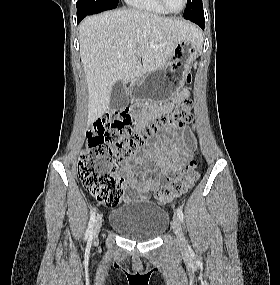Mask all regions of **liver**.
Wrapping results in <instances>:
<instances>
[{"mask_svg": "<svg viewBox=\"0 0 280 285\" xmlns=\"http://www.w3.org/2000/svg\"><path fill=\"white\" fill-rule=\"evenodd\" d=\"M202 33L188 22L138 9L92 15L79 26L80 56L88 88V121L102 117L115 82H134L164 67L184 39Z\"/></svg>", "mask_w": 280, "mask_h": 285, "instance_id": "liver-1", "label": "liver"}]
</instances>
